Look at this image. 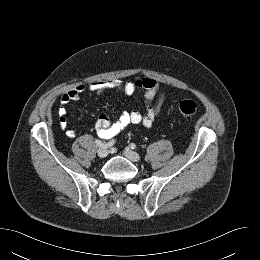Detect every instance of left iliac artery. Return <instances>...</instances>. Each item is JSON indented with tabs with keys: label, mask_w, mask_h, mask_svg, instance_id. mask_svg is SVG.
Wrapping results in <instances>:
<instances>
[{
	"label": "left iliac artery",
	"mask_w": 260,
	"mask_h": 260,
	"mask_svg": "<svg viewBox=\"0 0 260 260\" xmlns=\"http://www.w3.org/2000/svg\"><path fill=\"white\" fill-rule=\"evenodd\" d=\"M130 147H131V149H136V148H137L134 143H131V144H130Z\"/></svg>",
	"instance_id": "left-iliac-artery-1"
}]
</instances>
